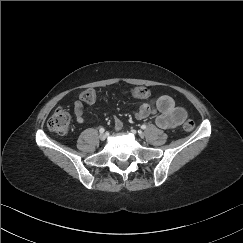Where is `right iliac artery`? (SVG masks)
<instances>
[{
  "label": "right iliac artery",
  "instance_id": "right-iliac-artery-1",
  "mask_svg": "<svg viewBox=\"0 0 243 243\" xmlns=\"http://www.w3.org/2000/svg\"><path fill=\"white\" fill-rule=\"evenodd\" d=\"M105 129L104 128H100L99 132L100 133H104Z\"/></svg>",
  "mask_w": 243,
  "mask_h": 243
}]
</instances>
